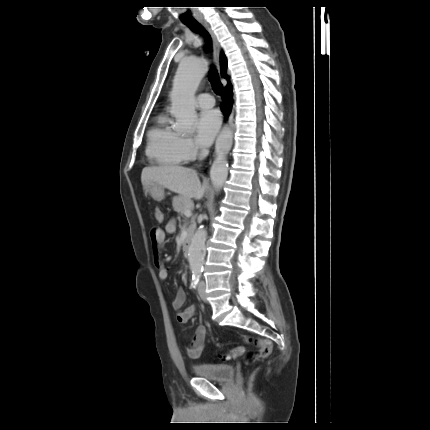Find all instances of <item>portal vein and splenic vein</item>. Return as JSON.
Returning <instances> with one entry per match:
<instances>
[{"instance_id": "portal-vein-and-splenic-vein-1", "label": "portal vein and splenic vein", "mask_w": 430, "mask_h": 430, "mask_svg": "<svg viewBox=\"0 0 430 430\" xmlns=\"http://www.w3.org/2000/svg\"><path fill=\"white\" fill-rule=\"evenodd\" d=\"M184 215L186 217H190V216H192V211L190 209H187V210H185Z\"/></svg>"}]
</instances>
